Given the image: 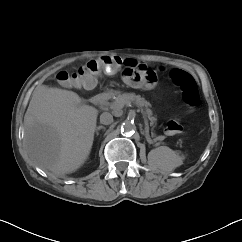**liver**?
<instances>
[{
  "label": "liver",
  "instance_id": "liver-1",
  "mask_svg": "<svg viewBox=\"0 0 242 242\" xmlns=\"http://www.w3.org/2000/svg\"><path fill=\"white\" fill-rule=\"evenodd\" d=\"M97 115L73 91L37 86L24 116L29 157L56 176L76 171L90 154Z\"/></svg>",
  "mask_w": 242,
  "mask_h": 242
}]
</instances>
